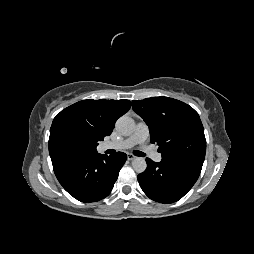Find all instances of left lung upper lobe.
<instances>
[{
	"instance_id": "left-lung-upper-lobe-1",
	"label": "left lung upper lobe",
	"mask_w": 254,
	"mask_h": 254,
	"mask_svg": "<svg viewBox=\"0 0 254 254\" xmlns=\"http://www.w3.org/2000/svg\"><path fill=\"white\" fill-rule=\"evenodd\" d=\"M133 110L149 126L151 143L159 146L162 162L202 168L206 152L204 128L189 105L168 97L132 101Z\"/></svg>"
}]
</instances>
